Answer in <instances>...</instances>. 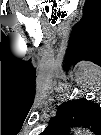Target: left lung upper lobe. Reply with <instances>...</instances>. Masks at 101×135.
<instances>
[{
  "label": "left lung upper lobe",
  "instance_id": "left-lung-upper-lobe-1",
  "mask_svg": "<svg viewBox=\"0 0 101 135\" xmlns=\"http://www.w3.org/2000/svg\"><path fill=\"white\" fill-rule=\"evenodd\" d=\"M85 99L65 102L58 107L57 115L63 117L68 122H76L78 119L84 117L86 106L91 104Z\"/></svg>",
  "mask_w": 101,
  "mask_h": 135
}]
</instances>
